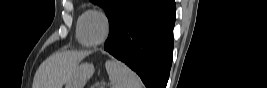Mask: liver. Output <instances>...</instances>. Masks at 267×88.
Instances as JSON below:
<instances>
[{
	"label": "liver",
	"instance_id": "1",
	"mask_svg": "<svg viewBox=\"0 0 267 88\" xmlns=\"http://www.w3.org/2000/svg\"><path fill=\"white\" fill-rule=\"evenodd\" d=\"M89 52L65 51L48 57L35 73L33 88H62Z\"/></svg>",
	"mask_w": 267,
	"mask_h": 88
}]
</instances>
